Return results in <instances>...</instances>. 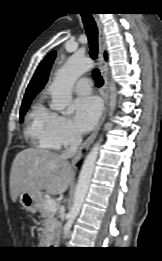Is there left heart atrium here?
<instances>
[{
    "label": "left heart atrium",
    "mask_w": 162,
    "mask_h": 261,
    "mask_svg": "<svg viewBox=\"0 0 162 261\" xmlns=\"http://www.w3.org/2000/svg\"><path fill=\"white\" fill-rule=\"evenodd\" d=\"M74 124L81 132H88L95 124L100 113V104L93 96L79 97L73 104Z\"/></svg>",
    "instance_id": "1"
}]
</instances>
